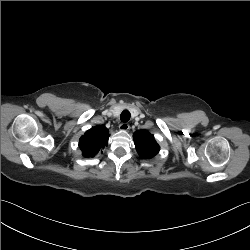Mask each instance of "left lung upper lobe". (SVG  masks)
Listing matches in <instances>:
<instances>
[{
  "instance_id": "5c2ea615",
  "label": "left lung upper lobe",
  "mask_w": 250,
  "mask_h": 250,
  "mask_svg": "<svg viewBox=\"0 0 250 250\" xmlns=\"http://www.w3.org/2000/svg\"><path fill=\"white\" fill-rule=\"evenodd\" d=\"M136 149L142 158H152L155 156L160 147L156 143L154 136L146 130L136 131L133 135Z\"/></svg>"
}]
</instances>
